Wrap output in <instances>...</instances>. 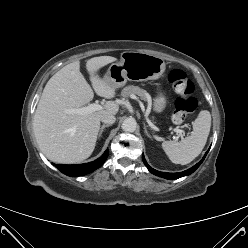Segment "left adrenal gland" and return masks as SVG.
Segmentation results:
<instances>
[{
    "mask_svg": "<svg viewBox=\"0 0 248 248\" xmlns=\"http://www.w3.org/2000/svg\"><path fill=\"white\" fill-rule=\"evenodd\" d=\"M144 131H145L146 136L151 138V135L148 133L145 123H144Z\"/></svg>",
    "mask_w": 248,
    "mask_h": 248,
    "instance_id": "1",
    "label": "left adrenal gland"
}]
</instances>
